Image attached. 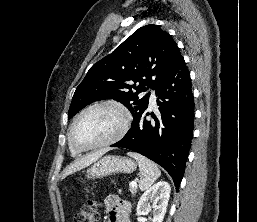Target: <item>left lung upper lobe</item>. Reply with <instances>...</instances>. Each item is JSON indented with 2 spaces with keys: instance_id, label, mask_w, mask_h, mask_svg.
<instances>
[{
  "instance_id": "1",
  "label": "left lung upper lobe",
  "mask_w": 257,
  "mask_h": 222,
  "mask_svg": "<svg viewBox=\"0 0 257 222\" xmlns=\"http://www.w3.org/2000/svg\"><path fill=\"white\" fill-rule=\"evenodd\" d=\"M182 59L166 31L157 25L139 28L89 69L76 88L68 118L90 103L114 99L124 104L135 120L149 102L150 93L140 94L148 88L155 89Z\"/></svg>"
}]
</instances>
